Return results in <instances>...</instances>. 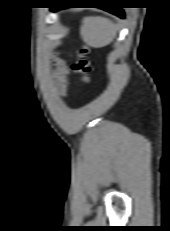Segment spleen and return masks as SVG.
Here are the masks:
<instances>
[{
  "mask_svg": "<svg viewBox=\"0 0 170 231\" xmlns=\"http://www.w3.org/2000/svg\"><path fill=\"white\" fill-rule=\"evenodd\" d=\"M82 39L89 46L100 48L113 41L117 26L104 17H86L80 29Z\"/></svg>",
  "mask_w": 170,
  "mask_h": 231,
  "instance_id": "spleen-1",
  "label": "spleen"
}]
</instances>
